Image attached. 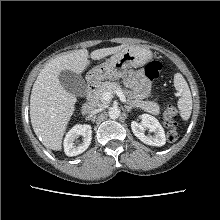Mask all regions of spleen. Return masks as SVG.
I'll list each match as a JSON object with an SVG mask.
<instances>
[{
	"mask_svg": "<svg viewBox=\"0 0 220 220\" xmlns=\"http://www.w3.org/2000/svg\"><path fill=\"white\" fill-rule=\"evenodd\" d=\"M174 87L180 94L177 103L180 116L187 121L192 113V97L189 86L180 73H176L174 76Z\"/></svg>",
	"mask_w": 220,
	"mask_h": 220,
	"instance_id": "spleen-1",
	"label": "spleen"
}]
</instances>
